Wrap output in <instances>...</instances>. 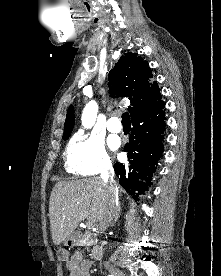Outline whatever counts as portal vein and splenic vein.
Masks as SVG:
<instances>
[{
    "label": "portal vein and splenic vein",
    "mask_w": 221,
    "mask_h": 276,
    "mask_svg": "<svg viewBox=\"0 0 221 276\" xmlns=\"http://www.w3.org/2000/svg\"><path fill=\"white\" fill-rule=\"evenodd\" d=\"M88 227H91L92 226V223H88V225H87Z\"/></svg>",
    "instance_id": "obj_1"
}]
</instances>
